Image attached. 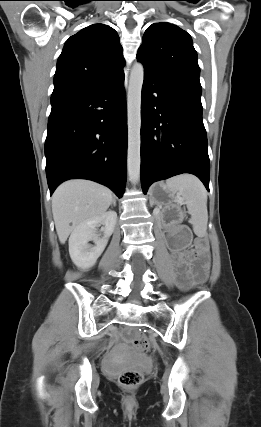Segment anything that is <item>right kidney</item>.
<instances>
[{
  "instance_id": "obj_1",
  "label": "right kidney",
  "mask_w": 261,
  "mask_h": 427,
  "mask_svg": "<svg viewBox=\"0 0 261 427\" xmlns=\"http://www.w3.org/2000/svg\"><path fill=\"white\" fill-rule=\"evenodd\" d=\"M117 222V213L108 211L77 225L69 238V254L74 264L82 269L92 267L104 251L109 237L112 235ZM103 224L104 236L97 234V226ZM93 241L95 246H90Z\"/></svg>"
}]
</instances>
